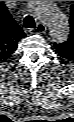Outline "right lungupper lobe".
Listing matches in <instances>:
<instances>
[{"mask_svg":"<svg viewBox=\"0 0 74 122\" xmlns=\"http://www.w3.org/2000/svg\"><path fill=\"white\" fill-rule=\"evenodd\" d=\"M22 28L14 21L7 7L0 2V62L7 60L17 48V42L25 37Z\"/></svg>","mask_w":74,"mask_h":122,"instance_id":"cb5924a9","label":"right lung upper lobe"}]
</instances>
